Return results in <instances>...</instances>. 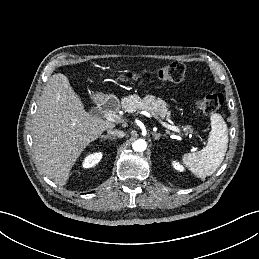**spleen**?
<instances>
[{"label": "spleen", "mask_w": 259, "mask_h": 259, "mask_svg": "<svg viewBox=\"0 0 259 259\" xmlns=\"http://www.w3.org/2000/svg\"><path fill=\"white\" fill-rule=\"evenodd\" d=\"M211 131L205 148L182 157L183 163L197 177L204 179L212 175L224 160L228 148L227 124L220 114L210 117Z\"/></svg>", "instance_id": "spleen-1"}]
</instances>
